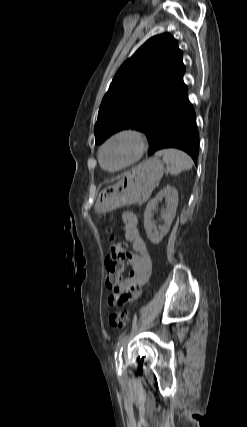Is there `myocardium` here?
<instances>
[{
  "mask_svg": "<svg viewBox=\"0 0 247 427\" xmlns=\"http://www.w3.org/2000/svg\"><path fill=\"white\" fill-rule=\"evenodd\" d=\"M121 138H131L133 140V142L135 144L134 155L132 156V158L130 160H128L127 162H125L124 164H122L119 167L107 168L104 165L103 159H102L103 151L108 145H110L114 141L121 139ZM146 146H147L146 138L141 131L136 130V129H132V128L121 129V130H118V131L114 132L113 134H111L102 143V145L100 146L99 151H98V160H99L101 167L104 170H106L108 172H118V171L126 169L129 166L136 163L143 156V154L146 150Z\"/></svg>",
  "mask_w": 247,
  "mask_h": 427,
  "instance_id": "f54148a6",
  "label": "myocardium"
}]
</instances>
